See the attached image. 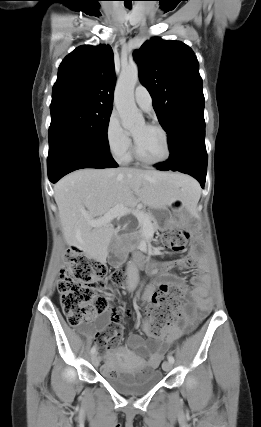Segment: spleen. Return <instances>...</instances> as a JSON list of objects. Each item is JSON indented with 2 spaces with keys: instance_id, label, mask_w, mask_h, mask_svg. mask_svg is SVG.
<instances>
[{
  "instance_id": "1",
  "label": "spleen",
  "mask_w": 261,
  "mask_h": 427,
  "mask_svg": "<svg viewBox=\"0 0 261 427\" xmlns=\"http://www.w3.org/2000/svg\"><path fill=\"white\" fill-rule=\"evenodd\" d=\"M187 192L191 198V204L195 205L198 202V200L200 198V194H201V190H200L198 184L195 183L192 186H190L188 188Z\"/></svg>"
}]
</instances>
